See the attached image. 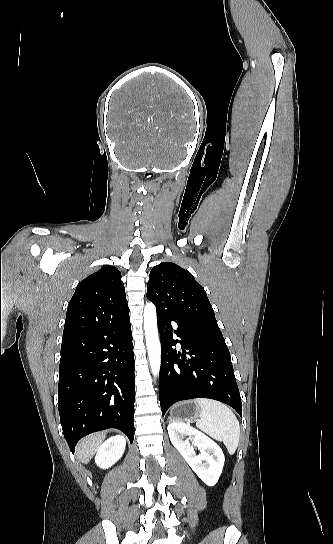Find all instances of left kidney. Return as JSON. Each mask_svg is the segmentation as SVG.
I'll use <instances>...</instances> for the list:
<instances>
[{
  "instance_id": "left-kidney-1",
  "label": "left kidney",
  "mask_w": 333,
  "mask_h": 544,
  "mask_svg": "<svg viewBox=\"0 0 333 544\" xmlns=\"http://www.w3.org/2000/svg\"><path fill=\"white\" fill-rule=\"evenodd\" d=\"M168 434L173 446L184 457L197 476L208 486H214L223 469L225 457L220 446L201 431L181 422H171ZM190 440L192 445H190ZM193 445L198 447L196 455Z\"/></svg>"
}]
</instances>
